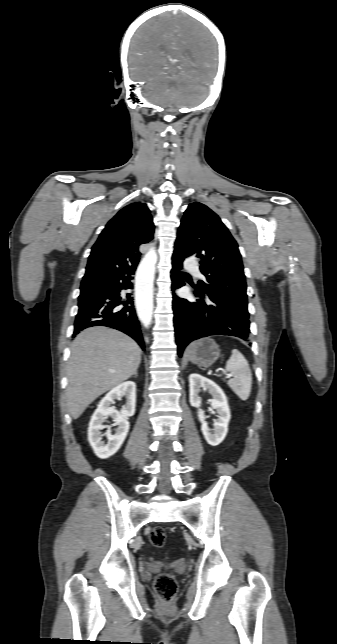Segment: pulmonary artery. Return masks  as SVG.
Wrapping results in <instances>:
<instances>
[{
  "label": "pulmonary artery",
  "mask_w": 337,
  "mask_h": 644,
  "mask_svg": "<svg viewBox=\"0 0 337 644\" xmlns=\"http://www.w3.org/2000/svg\"><path fill=\"white\" fill-rule=\"evenodd\" d=\"M184 266L188 271L199 274L198 265L193 259H187L184 263Z\"/></svg>",
  "instance_id": "1"
}]
</instances>
